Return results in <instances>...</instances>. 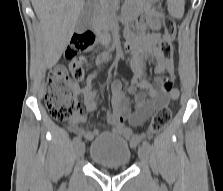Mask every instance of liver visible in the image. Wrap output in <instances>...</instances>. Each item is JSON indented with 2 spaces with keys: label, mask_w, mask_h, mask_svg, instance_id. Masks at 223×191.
I'll list each match as a JSON object with an SVG mask.
<instances>
[{
  "label": "liver",
  "mask_w": 223,
  "mask_h": 191,
  "mask_svg": "<svg viewBox=\"0 0 223 191\" xmlns=\"http://www.w3.org/2000/svg\"><path fill=\"white\" fill-rule=\"evenodd\" d=\"M31 2L43 32L46 67L52 68L71 40L84 1L31 0Z\"/></svg>",
  "instance_id": "1"
}]
</instances>
